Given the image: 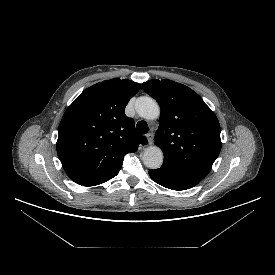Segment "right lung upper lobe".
I'll return each instance as SVG.
<instances>
[{
  "label": "right lung upper lobe",
  "mask_w": 275,
  "mask_h": 275,
  "mask_svg": "<svg viewBox=\"0 0 275 275\" xmlns=\"http://www.w3.org/2000/svg\"><path fill=\"white\" fill-rule=\"evenodd\" d=\"M140 84L111 79L84 90L67 108L58 129L57 154L68 176L82 186L115 177L127 153L147 139L125 115Z\"/></svg>",
  "instance_id": "cb5924a9"
}]
</instances>
